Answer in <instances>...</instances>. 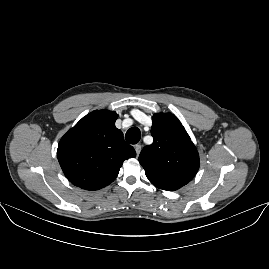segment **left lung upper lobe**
<instances>
[{
  "label": "left lung upper lobe",
  "instance_id": "obj_1",
  "mask_svg": "<svg viewBox=\"0 0 269 269\" xmlns=\"http://www.w3.org/2000/svg\"><path fill=\"white\" fill-rule=\"evenodd\" d=\"M151 134L139 162L147 178L158 188L179 189L192 180L199 168V155L179 120L171 113L154 114Z\"/></svg>",
  "mask_w": 269,
  "mask_h": 269
}]
</instances>
